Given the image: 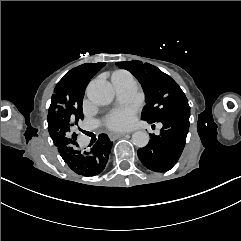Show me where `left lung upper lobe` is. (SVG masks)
<instances>
[{
	"mask_svg": "<svg viewBox=\"0 0 241 241\" xmlns=\"http://www.w3.org/2000/svg\"><path fill=\"white\" fill-rule=\"evenodd\" d=\"M142 84L146 105L141 119L148 123L161 122L190 112L188 100L179 85L157 67L141 61L117 62Z\"/></svg>",
	"mask_w": 241,
	"mask_h": 241,
	"instance_id": "left-lung-upper-lobe-1",
	"label": "left lung upper lobe"
}]
</instances>
